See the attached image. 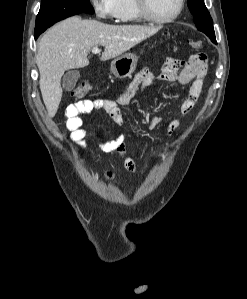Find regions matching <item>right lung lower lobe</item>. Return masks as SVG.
<instances>
[{
	"label": "right lung lower lobe",
	"mask_w": 247,
	"mask_h": 299,
	"mask_svg": "<svg viewBox=\"0 0 247 299\" xmlns=\"http://www.w3.org/2000/svg\"><path fill=\"white\" fill-rule=\"evenodd\" d=\"M35 37V39H37L38 38V36H34Z\"/></svg>",
	"instance_id": "right-lung-lower-lobe-1"
}]
</instances>
